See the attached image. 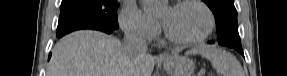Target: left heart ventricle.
<instances>
[{"mask_svg": "<svg viewBox=\"0 0 287 76\" xmlns=\"http://www.w3.org/2000/svg\"><path fill=\"white\" fill-rule=\"evenodd\" d=\"M161 17L169 32L180 39L201 35L208 23L206 13L194 4L164 8Z\"/></svg>", "mask_w": 287, "mask_h": 76, "instance_id": "1", "label": "left heart ventricle"}]
</instances>
